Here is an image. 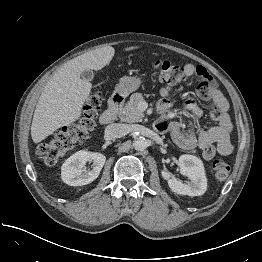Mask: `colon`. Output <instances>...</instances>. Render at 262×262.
<instances>
[{
    "instance_id": "5ec220e1",
    "label": "colon",
    "mask_w": 262,
    "mask_h": 262,
    "mask_svg": "<svg viewBox=\"0 0 262 262\" xmlns=\"http://www.w3.org/2000/svg\"><path fill=\"white\" fill-rule=\"evenodd\" d=\"M150 66L155 70L160 83L175 86L185 81L184 69L168 61H153ZM100 96L93 94L87 101L84 115L77 122L64 127L60 135L51 141L40 144L37 148L38 156L48 165H54L67 153L76 148L78 143L85 138L95 126L94 119L100 106ZM230 172V166L220 157L213 163V173L217 180H224Z\"/></svg>"
}]
</instances>
